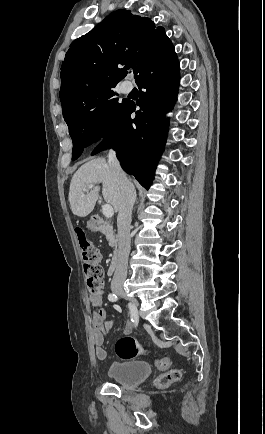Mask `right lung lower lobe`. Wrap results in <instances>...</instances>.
<instances>
[{"label":"right lung lower lobe","instance_id":"right-lung-lower-lobe-1","mask_svg":"<svg viewBox=\"0 0 265 434\" xmlns=\"http://www.w3.org/2000/svg\"><path fill=\"white\" fill-rule=\"evenodd\" d=\"M175 50L148 62L136 78L144 92L131 102L122 122L95 148L92 155L114 147L125 172L134 175L146 189L152 183L163 150L168 122L164 112L175 104L180 76ZM136 105V117L131 118Z\"/></svg>","mask_w":265,"mask_h":434}]
</instances>
